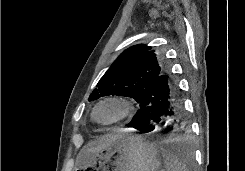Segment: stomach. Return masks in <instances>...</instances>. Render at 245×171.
Instances as JSON below:
<instances>
[{
    "label": "stomach",
    "mask_w": 245,
    "mask_h": 171,
    "mask_svg": "<svg viewBox=\"0 0 245 171\" xmlns=\"http://www.w3.org/2000/svg\"><path fill=\"white\" fill-rule=\"evenodd\" d=\"M112 144L88 154L75 171H158V147L139 135L120 133Z\"/></svg>",
    "instance_id": "stomach-1"
}]
</instances>
